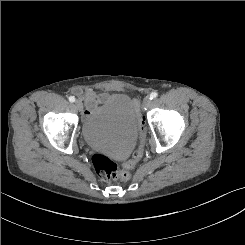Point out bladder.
I'll return each instance as SVG.
<instances>
[{"mask_svg":"<svg viewBox=\"0 0 245 245\" xmlns=\"http://www.w3.org/2000/svg\"><path fill=\"white\" fill-rule=\"evenodd\" d=\"M138 113L134 101L124 93H116L99 105L82 125L85 143L116 157L133 150L138 136Z\"/></svg>","mask_w":245,"mask_h":245,"instance_id":"31cf9c89","label":"bladder"}]
</instances>
